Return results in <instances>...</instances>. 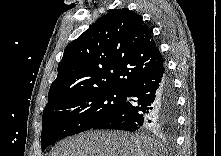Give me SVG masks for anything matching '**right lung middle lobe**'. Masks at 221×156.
<instances>
[{
  "mask_svg": "<svg viewBox=\"0 0 221 156\" xmlns=\"http://www.w3.org/2000/svg\"><path fill=\"white\" fill-rule=\"evenodd\" d=\"M126 98V91L99 90L74 94L45 108L42 151L57 140L93 128L118 110Z\"/></svg>",
  "mask_w": 221,
  "mask_h": 156,
  "instance_id": "obj_1",
  "label": "right lung middle lobe"
}]
</instances>
